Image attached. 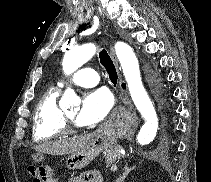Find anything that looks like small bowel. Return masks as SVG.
<instances>
[{
    "instance_id": "obj_1",
    "label": "small bowel",
    "mask_w": 211,
    "mask_h": 182,
    "mask_svg": "<svg viewBox=\"0 0 211 182\" xmlns=\"http://www.w3.org/2000/svg\"><path fill=\"white\" fill-rule=\"evenodd\" d=\"M33 182H39L33 177ZM69 182H102L101 174L97 171H87L79 176L72 177Z\"/></svg>"
}]
</instances>
